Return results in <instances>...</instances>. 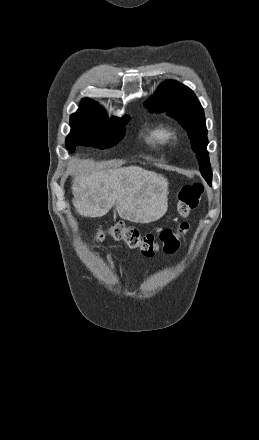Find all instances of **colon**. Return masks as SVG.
<instances>
[{
  "label": "colon",
  "mask_w": 259,
  "mask_h": 440,
  "mask_svg": "<svg viewBox=\"0 0 259 440\" xmlns=\"http://www.w3.org/2000/svg\"><path fill=\"white\" fill-rule=\"evenodd\" d=\"M203 193L200 183L183 186L177 199V210L183 219L175 229H164L159 236L151 233H141L138 229L126 226L123 223H115L108 229V234L113 239L125 242L130 248L138 249L144 256L152 257L159 252L172 254L180 245V237L185 233L189 224L187 218L190 212L198 206ZM105 237L102 230L98 231V239Z\"/></svg>",
  "instance_id": "1"
}]
</instances>
